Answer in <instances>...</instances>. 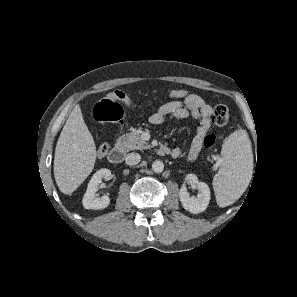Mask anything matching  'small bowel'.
<instances>
[{
	"label": "small bowel",
	"instance_id": "c3829d8e",
	"mask_svg": "<svg viewBox=\"0 0 297 297\" xmlns=\"http://www.w3.org/2000/svg\"><path fill=\"white\" fill-rule=\"evenodd\" d=\"M211 112L212 107L204 98L197 94H189L184 99L173 100L160 106L158 110L150 116L149 121L154 125H158L161 124L165 118L184 119L192 117L196 119L199 122V127L187 154V160L192 162L198 157L204 145L207 133L210 130ZM181 153V149L175 147L171 149L170 155L177 158Z\"/></svg>",
	"mask_w": 297,
	"mask_h": 297
}]
</instances>
